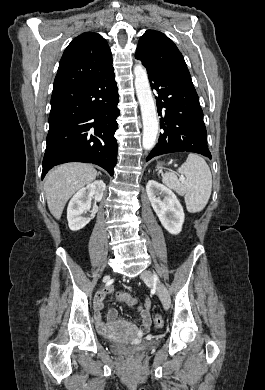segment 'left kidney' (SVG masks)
Returning <instances> with one entry per match:
<instances>
[{
    "label": "left kidney",
    "mask_w": 265,
    "mask_h": 390,
    "mask_svg": "<svg viewBox=\"0 0 265 390\" xmlns=\"http://www.w3.org/2000/svg\"><path fill=\"white\" fill-rule=\"evenodd\" d=\"M146 192L162 226L170 234H179L182 230L185 214L176 195L172 190L155 180L148 181Z\"/></svg>",
    "instance_id": "1"
}]
</instances>
